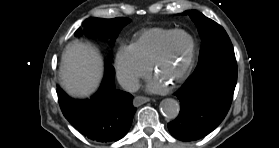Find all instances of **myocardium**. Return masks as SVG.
<instances>
[{
  "instance_id": "1",
  "label": "myocardium",
  "mask_w": 279,
  "mask_h": 148,
  "mask_svg": "<svg viewBox=\"0 0 279 148\" xmlns=\"http://www.w3.org/2000/svg\"><path fill=\"white\" fill-rule=\"evenodd\" d=\"M178 35H186L189 37L190 41H191V47L189 50V54L187 56L186 62L184 64V66L182 67V69L180 70V72L178 73V75L175 77V79L172 81L173 84H178L180 82H182L183 80H185L187 78V76L189 75V73L192 70L194 61H195V56H196V41L194 36L183 29H178V30H174L173 32H171L168 37L165 39L163 45L161 46L158 54L156 55V57L154 58L152 64H151V69L153 73H156L159 65L163 62V60L166 58V56L169 53V49H170V45L173 41V39L178 36Z\"/></svg>"
}]
</instances>
